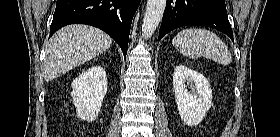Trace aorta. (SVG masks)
Instances as JSON below:
<instances>
[{"label": "aorta", "instance_id": "aorta-1", "mask_svg": "<svg viewBox=\"0 0 280 137\" xmlns=\"http://www.w3.org/2000/svg\"><path fill=\"white\" fill-rule=\"evenodd\" d=\"M166 0H148L142 24V34L145 38H150L157 29L164 10Z\"/></svg>", "mask_w": 280, "mask_h": 137}]
</instances>
